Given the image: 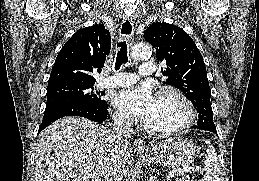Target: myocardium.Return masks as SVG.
<instances>
[{
    "label": "myocardium",
    "mask_w": 259,
    "mask_h": 181,
    "mask_svg": "<svg viewBox=\"0 0 259 181\" xmlns=\"http://www.w3.org/2000/svg\"><path fill=\"white\" fill-rule=\"evenodd\" d=\"M164 96H171L175 98L179 103L182 105L184 109V117L182 121L172 127L167 128H157L148 125L147 123L144 124L145 129L152 134L160 135V136H169L173 134H177L187 128H189L195 121L196 114L193 107L192 102L189 98L178 88L174 86H164L158 92L156 97H164Z\"/></svg>",
    "instance_id": "obj_1"
}]
</instances>
